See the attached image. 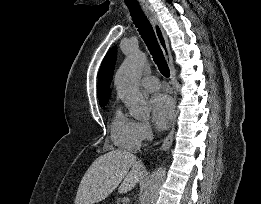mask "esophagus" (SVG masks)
Returning a JSON list of instances; mask_svg holds the SVG:
<instances>
[{"mask_svg":"<svg viewBox=\"0 0 261 204\" xmlns=\"http://www.w3.org/2000/svg\"><path fill=\"white\" fill-rule=\"evenodd\" d=\"M142 9H143L145 15L149 19V21H150V23H151V25L154 29L158 43H159V45H160V47L163 51L164 57H165V59L168 63V66L170 68L171 81H172V84L174 86V84L176 82V70H175V67H174V64H173V59H172L171 51H170V48H169L167 36H166L164 29H163V27H162V25H161V23L158 19V16L156 15V13L152 9V7L145 4V5H142ZM174 95H175V97L177 96L176 91H174ZM174 131H175V127L173 126L170 133L164 139V141H163V143L160 147V150L167 151L171 147L172 142H173V137H174Z\"/></svg>","mask_w":261,"mask_h":204,"instance_id":"1","label":"esophagus"}]
</instances>
